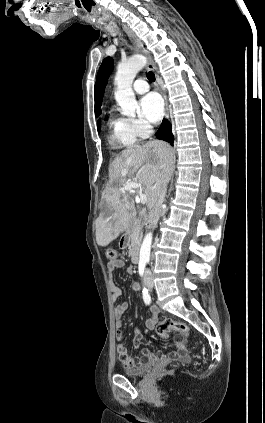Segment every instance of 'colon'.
<instances>
[{
    "mask_svg": "<svg viewBox=\"0 0 265 423\" xmlns=\"http://www.w3.org/2000/svg\"><path fill=\"white\" fill-rule=\"evenodd\" d=\"M106 257L109 262H113L118 259V253L115 249L108 248L106 250ZM156 331L159 336L166 338L172 331L179 332L180 334H186L189 331V328L185 323L177 322L172 319H165L157 324Z\"/></svg>",
    "mask_w": 265,
    "mask_h": 423,
    "instance_id": "1",
    "label": "colon"
}]
</instances>
